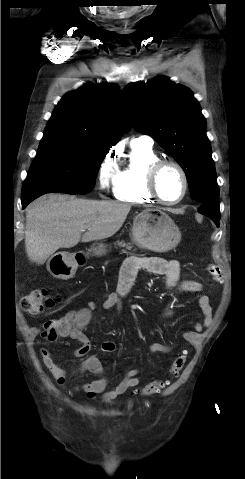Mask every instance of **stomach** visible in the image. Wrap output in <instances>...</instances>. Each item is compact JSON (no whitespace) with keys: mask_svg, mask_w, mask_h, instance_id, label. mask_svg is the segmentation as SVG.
Segmentation results:
<instances>
[{"mask_svg":"<svg viewBox=\"0 0 245 479\" xmlns=\"http://www.w3.org/2000/svg\"><path fill=\"white\" fill-rule=\"evenodd\" d=\"M132 239L140 247L155 252H167L175 248L181 240V232L174 221L164 212L144 210L133 221ZM96 257L105 256L107 245L99 243L93 246ZM78 262L74 254L58 252L47 261V269L52 276L70 279L74 276Z\"/></svg>","mask_w":245,"mask_h":479,"instance_id":"0dacf381","label":"stomach"}]
</instances>
